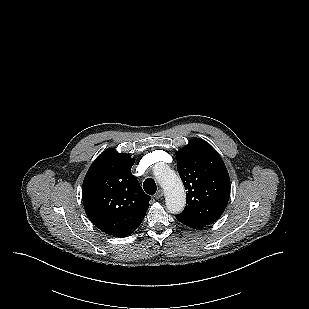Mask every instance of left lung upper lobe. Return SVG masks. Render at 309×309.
<instances>
[{
  "mask_svg": "<svg viewBox=\"0 0 309 309\" xmlns=\"http://www.w3.org/2000/svg\"><path fill=\"white\" fill-rule=\"evenodd\" d=\"M177 170L187 190L179 219L202 226L215 222L230 197V178L216 150L202 139L192 140L176 153Z\"/></svg>",
  "mask_w": 309,
  "mask_h": 309,
  "instance_id": "obj_1",
  "label": "left lung upper lobe"
}]
</instances>
